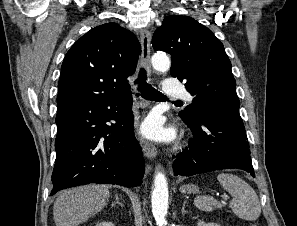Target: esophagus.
<instances>
[{"mask_svg":"<svg viewBox=\"0 0 297 226\" xmlns=\"http://www.w3.org/2000/svg\"><path fill=\"white\" fill-rule=\"evenodd\" d=\"M141 38V64L150 72V42H151V33L147 29H143L140 32ZM139 143L143 149L145 156L149 159L156 157L157 152L152 143L143 137H139Z\"/></svg>","mask_w":297,"mask_h":226,"instance_id":"obj_1","label":"esophagus"}]
</instances>
